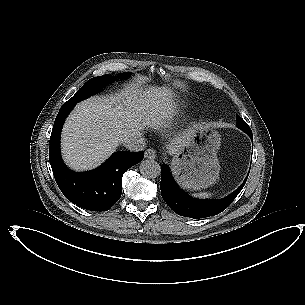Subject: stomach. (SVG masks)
Listing matches in <instances>:
<instances>
[{
	"label": "stomach",
	"mask_w": 305,
	"mask_h": 305,
	"mask_svg": "<svg viewBox=\"0 0 305 305\" xmlns=\"http://www.w3.org/2000/svg\"><path fill=\"white\" fill-rule=\"evenodd\" d=\"M220 143L218 132L211 127L200 124L193 128L186 144L171 161L172 174L182 189H206L217 180Z\"/></svg>",
	"instance_id": "obj_1"
}]
</instances>
